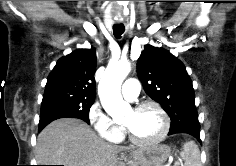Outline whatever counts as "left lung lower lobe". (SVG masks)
<instances>
[{"label": "left lung lower lobe", "instance_id": "1", "mask_svg": "<svg viewBox=\"0 0 236 166\" xmlns=\"http://www.w3.org/2000/svg\"><path fill=\"white\" fill-rule=\"evenodd\" d=\"M177 133H187L200 140V124L198 116H190L187 119L171 124L168 135Z\"/></svg>", "mask_w": 236, "mask_h": 166}]
</instances>
